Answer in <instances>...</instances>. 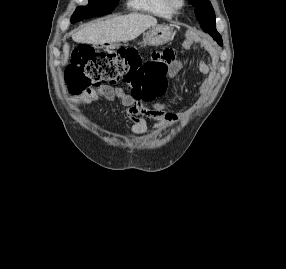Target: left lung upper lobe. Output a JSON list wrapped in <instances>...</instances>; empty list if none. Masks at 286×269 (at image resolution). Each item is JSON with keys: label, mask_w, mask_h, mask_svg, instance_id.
Returning a JSON list of instances; mask_svg holds the SVG:
<instances>
[{"label": "left lung upper lobe", "mask_w": 286, "mask_h": 269, "mask_svg": "<svg viewBox=\"0 0 286 269\" xmlns=\"http://www.w3.org/2000/svg\"><path fill=\"white\" fill-rule=\"evenodd\" d=\"M189 2L195 6V15L201 23V28L222 45V38L216 30V18L211 3L208 0H189Z\"/></svg>", "instance_id": "5c2ea615"}]
</instances>
